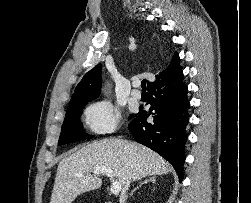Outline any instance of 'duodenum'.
Instances as JSON below:
<instances>
[{
    "mask_svg": "<svg viewBox=\"0 0 251 203\" xmlns=\"http://www.w3.org/2000/svg\"><path fill=\"white\" fill-rule=\"evenodd\" d=\"M105 203H112L111 201H109V200H107V201H105Z\"/></svg>",
    "mask_w": 251,
    "mask_h": 203,
    "instance_id": "duodenum-1",
    "label": "duodenum"
}]
</instances>
